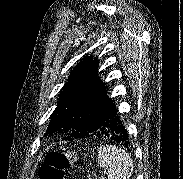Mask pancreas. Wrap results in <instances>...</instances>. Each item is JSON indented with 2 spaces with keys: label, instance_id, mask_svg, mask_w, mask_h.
Instances as JSON below:
<instances>
[{
  "label": "pancreas",
  "instance_id": "obj_1",
  "mask_svg": "<svg viewBox=\"0 0 183 179\" xmlns=\"http://www.w3.org/2000/svg\"><path fill=\"white\" fill-rule=\"evenodd\" d=\"M87 179H105L104 177L97 178L96 176L91 177L90 175L87 177Z\"/></svg>",
  "mask_w": 183,
  "mask_h": 179
}]
</instances>
